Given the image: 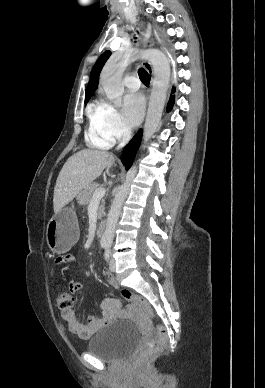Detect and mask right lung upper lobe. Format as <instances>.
<instances>
[{"mask_svg": "<svg viewBox=\"0 0 265 388\" xmlns=\"http://www.w3.org/2000/svg\"><path fill=\"white\" fill-rule=\"evenodd\" d=\"M110 55H111L110 51L104 52L98 58L97 62L95 63L94 68L91 71L90 81H89L87 89H86L85 102H87L90 99V97L93 95L94 91L97 89L99 74H100L105 62L110 57Z\"/></svg>", "mask_w": 265, "mask_h": 388, "instance_id": "obj_1", "label": "right lung upper lobe"}]
</instances>
